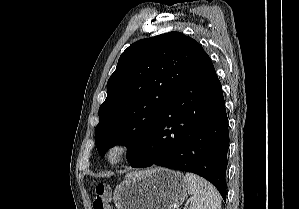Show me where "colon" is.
<instances>
[{
  "label": "colon",
  "instance_id": "obj_1",
  "mask_svg": "<svg viewBox=\"0 0 299 209\" xmlns=\"http://www.w3.org/2000/svg\"><path fill=\"white\" fill-rule=\"evenodd\" d=\"M110 187L99 184L94 190L93 209H111L109 206Z\"/></svg>",
  "mask_w": 299,
  "mask_h": 209
}]
</instances>
